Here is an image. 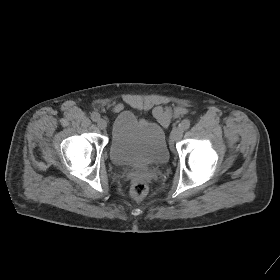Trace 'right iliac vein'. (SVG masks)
Instances as JSON below:
<instances>
[{
	"label": "right iliac vein",
	"instance_id": "63e3f726",
	"mask_svg": "<svg viewBox=\"0 0 280 280\" xmlns=\"http://www.w3.org/2000/svg\"><path fill=\"white\" fill-rule=\"evenodd\" d=\"M97 126L101 129L104 130L107 127V122L104 119H99L97 122Z\"/></svg>",
	"mask_w": 280,
	"mask_h": 280
}]
</instances>
